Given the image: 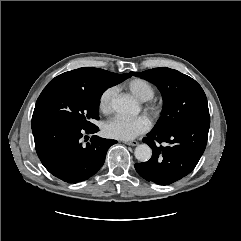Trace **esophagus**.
I'll return each mask as SVG.
<instances>
[{"label":"esophagus","mask_w":241,"mask_h":241,"mask_svg":"<svg viewBox=\"0 0 241 241\" xmlns=\"http://www.w3.org/2000/svg\"><path fill=\"white\" fill-rule=\"evenodd\" d=\"M124 143L129 146H137L138 145L137 141H125Z\"/></svg>","instance_id":"34e87169"}]
</instances>
